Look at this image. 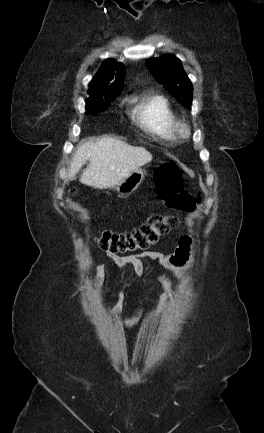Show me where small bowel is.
Returning a JSON list of instances; mask_svg holds the SVG:
<instances>
[{
	"label": "small bowel",
	"mask_w": 264,
	"mask_h": 433,
	"mask_svg": "<svg viewBox=\"0 0 264 433\" xmlns=\"http://www.w3.org/2000/svg\"><path fill=\"white\" fill-rule=\"evenodd\" d=\"M112 261L118 266L120 270L126 272L128 267L131 266L138 277H145L147 274V267L145 264L146 259L156 260L159 264L170 271H172L182 282V287L186 281V274L188 269L194 262V246L190 237L185 236L179 239L178 247L169 255H165L160 251H145L136 255L118 256L109 254ZM106 275L105 265L103 263L97 266V271L93 276V282L100 284L104 281ZM160 283L163 292L157 299L156 307L153 313V318L157 319L164 311L166 304L173 298L174 292L171 282L163 275L156 276ZM126 300V292L122 290L118 293L117 301L110 313L112 319H118L121 315ZM143 301L134 315L124 321V327L131 329L138 321L141 313Z\"/></svg>",
	"instance_id": "c3829d8e"
}]
</instances>
